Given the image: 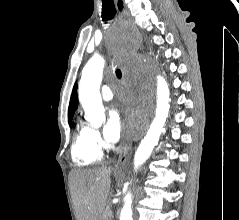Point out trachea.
<instances>
[{
  "label": "trachea",
  "mask_w": 239,
  "mask_h": 220,
  "mask_svg": "<svg viewBox=\"0 0 239 220\" xmlns=\"http://www.w3.org/2000/svg\"><path fill=\"white\" fill-rule=\"evenodd\" d=\"M116 15L115 6L113 0H102V18L104 22L109 21ZM116 75L120 79L121 71L116 69Z\"/></svg>",
  "instance_id": "trachea-1"
}]
</instances>
